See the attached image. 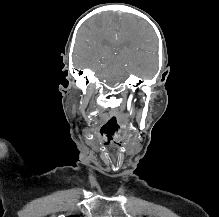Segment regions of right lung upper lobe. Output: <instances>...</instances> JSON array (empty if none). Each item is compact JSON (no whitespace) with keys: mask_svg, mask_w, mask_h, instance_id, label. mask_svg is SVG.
Returning a JSON list of instances; mask_svg holds the SVG:
<instances>
[{"mask_svg":"<svg viewBox=\"0 0 219 217\" xmlns=\"http://www.w3.org/2000/svg\"><path fill=\"white\" fill-rule=\"evenodd\" d=\"M70 217H78V216H70Z\"/></svg>","mask_w":219,"mask_h":217,"instance_id":"1","label":"right lung upper lobe"}]
</instances>
